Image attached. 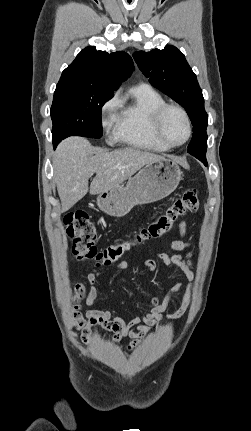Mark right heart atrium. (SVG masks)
I'll use <instances>...</instances> for the list:
<instances>
[{"label":"right heart atrium","instance_id":"1","mask_svg":"<svg viewBox=\"0 0 251 431\" xmlns=\"http://www.w3.org/2000/svg\"><path fill=\"white\" fill-rule=\"evenodd\" d=\"M120 101L117 95H113L103 103L100 108L101 125L105 130H110L116 124V110Z\"/></svg>","mask_w":251,"mask_h":431}]
</instances>
